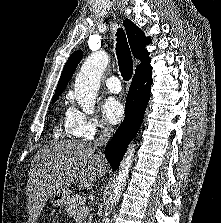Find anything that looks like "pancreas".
I'll return each instance as SVG.
<instances>
[{"label": "pancreas", "mask_w": 221, "mask_h": 223, "mask_svg": "<svg viewBox=\"0 0 221 223\" xmlns=\"http://www.w3.org/2000/svg\"><path fill=\"white\" fill-rule=\"evenodd\" d=\"M65 210L74 218L76 223L84 221L89 214V210L84 207V198L82 196H72L65 205Z\"/></svg>", "instance_id": "pancreas-1"}]
</instances>
